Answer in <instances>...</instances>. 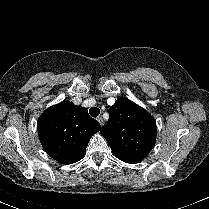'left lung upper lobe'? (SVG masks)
Listing matches in <instances>:
<instances>
[{
    "instance_id": "1",
    "label": "left lung upper lobe",
    "mask_w": 209,
    "mask_h": 209,
    "mask_svg": "<svg viewBox=\"0 0 209 209\" xmlns=\"http://www.w3.org/2000/svg\"><path fill=\"white\" fill-rule=\"evenodd\" d=\"M109 116L100 133L115 157L130 164L141 162L155 145L154 118L142 107L123 97L109 108Z\"/></svg>"
}]
</instances>
